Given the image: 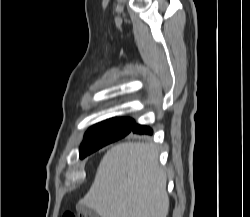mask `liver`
Returning <instances> with one entry per match:
<instances>
[{"instance_id": "liver-1", "label": "liver", "mask_w": 250, "mask_h": 217, "mask_svg": "<svg viewBox=\"0 0 250 217\" xmlns=\"http://www.w3.org/2000/svg\"><path fill=\"white\" fill-rule=\"evenodd\" d=\"M166 186L154 144L124 142L103 156L90 190L79 203L101 217H166Z\"/></svg>"}]
</instances>
